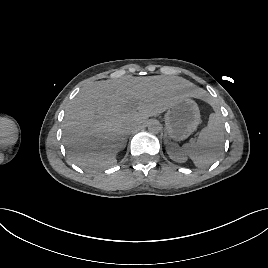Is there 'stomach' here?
I'll return each instance as SVG.
<instances>
[{"mask_svg":"<svg viewBox=\"0 0 268 268\" xmlns=\"http://www.w3.org/2000/svg\"><path fill=\"white\" fill-rule=\"evenodd\" d=\"M200 123V110L197 103L186 97L168 108L165 126L168 135L177 141L188 138Z\"/></svg>","mask_w":268,"mask_h":268,"instance_id":"stomach-1","label":"stomach"}]
</instances>
